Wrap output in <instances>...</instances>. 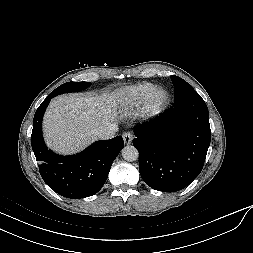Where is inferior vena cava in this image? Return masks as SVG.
Returning a JSON list of instances; mask_svg holds the SVG:
<instances>
[{
  "label": "inferior vena cava",
  "mask_w": 253,
  "mask_h": 253,
  "mask_svg": "<svg viewBox=\"0 0 253 253\" xmlns=\"http://www.w3.org/2000/svg\"><path fill=\"white\" fill-rule=\"evenodd\" d=\"M118 131V126L115 123H111L106 127H101L93 131L94 135L101 139H111Z\"/></svg>",
  "instance_id": "1"
}]
</instances>
